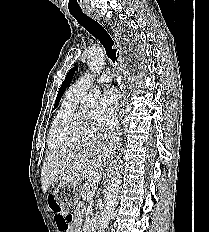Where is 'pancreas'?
<instances>
[{"instance_id":"obj_1","label":"pancreas","mask_w":209,"mask_h":232,"mask_svg":"<svg viewBox=\"0 0 209 232\" xmlns=\"http://www.w3.org/2000/svg\"><path fill=\"white\" fill-rule=\"evenodd\" d=\"M89 191H90L89 186L83 185V186H82V190H81V196L84 195V194H86V193L89 192Z\"/></svg>"}]
</instances>
